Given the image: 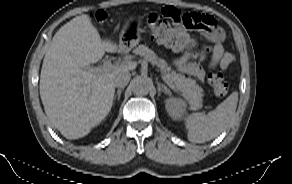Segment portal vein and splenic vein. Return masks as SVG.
Segmentation results:
<instances>
[{
	"label": "portal vein and splenic vein",
	"instance_id": "portal-vein-and-splenic-vein-1",
	"mask_svg": "<svg viewBox=\"0 0 292 184\" xmlns=\"http://www.w3.org/2000/svg\"><path fill=\"white\" fill-rule=\"evenodd\" d=\"M129 62H121V63H116L115 65L111 63L110 60H106L102 66H98L95 68H88L89 72H94V73H100V72H104V71H108L111 70L115 67H119V66H123L125 64H127ZM163 80L167 82L166 78L163 76ZM172 89L174 88L173 86H170Z\"/></svg>",
	"mask_w": 292,
	"mask_h": 184
}]
</instances>
